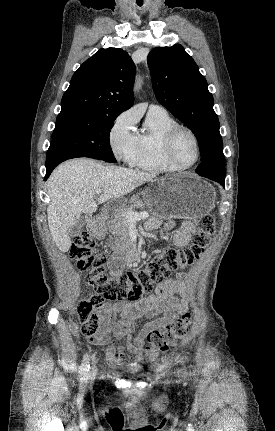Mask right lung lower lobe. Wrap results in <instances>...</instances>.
Listing matches in <instances>:
<instances>
[{
	"instance_id": "obj_1",
	"label": "right lung lower lobe",
	"mask_w": 275,
	"mask_h": 431,
	"mask_svg": "<svg viewBox=\"0 0 275 431\" xmlns=\"http://www.w3.org/2000/svg\"><path fill=\"white\" fill-rule=\"evenodd\" d=\"M77 157H90V158H94V159H99L98 157H94L91 155H87V154H67V155H63V156H59V157H54V158H50L46 160V176L44 178V180H46L49 175L51 174L52 170L61 162L68 160V159H72V158H77Z\"/></svg>"
}]
</instances>
